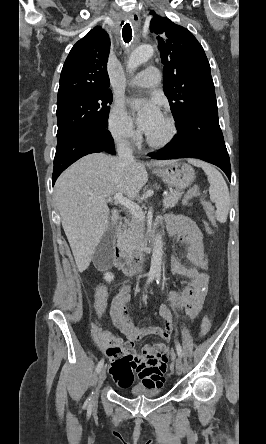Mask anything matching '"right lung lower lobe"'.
<instances>
[{
	"label": "right lung lower lobe",
	"instance_id": "right-lung-lower-lobe-1",
	"mask_svg": "<svg viewBox=\"0 0 266 444\" xmlns=\"http://www.w3.org/2000/svg\"><path fill=\"white\" fill-rule=\"evenodd\" d=\"M95 152L115 154L114 141L107 129H94L81 133L56 149L52 184L58 176L79 158Z\"/></svg>",
	"mask_w": 266,
	"mask_h": 444
}]
</instances>
